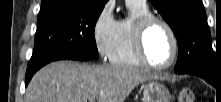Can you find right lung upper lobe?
<instances>
[{
	"mask_svg": "<svg viewBox=\"0 0 221 102\" xmlns=\"http://www.w3.org/2000/svg\"><path fill=\"white\" fill-rule=\"evenodd\" d=\"M76 1H86L94 7H104L107 0H42L41 8L51 7L58 4L71 3Z\"/></svg>",
	"mask_w": 221,
	"mask_h": 102,
	"instance_id": "cb5924a9",
	"label": "right lung upper lobe"
}]
</instances>
